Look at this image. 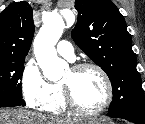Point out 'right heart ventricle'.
I'll list each match as a JSON object with an SVG mask.
<instances>
[{"instance_id":"1","label":"right heart ventricle","mask_w":145,"mask_h":124,"mask_svg":"<svg viewBox=\"0 0 145 124\" xmlns=\"http://www.w3.org/2000/svg\"><path fill=\"white\" fill-rule=\"evenodd\" d=\"M52 101L41 109L53 115H63L68 111L63 92L58 83L51 84Z\"/></svg>"}]
</instances>
